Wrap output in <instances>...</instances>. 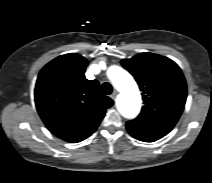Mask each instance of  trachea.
I'll use <instances>...</instances> for the list:
<instances>
[{
    "label": "trachea",
    "mask_w": 212,
    "mask_h": 183,
    "mask_svg": "<svg viewBox=\"0 0 212 183\" xmlns=\"http://www.w3.org/2000/svg\"><path fill=\"white\" fill-rule=\"evenodd\" d=\"M101 89H102L103 93L106 95H110L113 91L111 84L108 82L103 83L101 86Z\"/></svg>",
    "instance_id": "3493384b"
}]
</instances>
